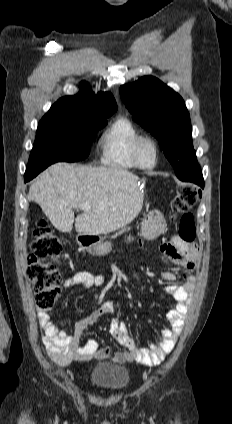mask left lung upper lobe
Listing matches in <instances>:
<instances>
[{
    "mask_svg": "<svg viewBox=\"0 0 232 424\" xmlns=\"http://www.w3.org/2000/svg\"><path fill=\"white\" fill-rule=\"evenodd\" d=\"M120 95L133 119L159 140L180 180L200 169L190 116L178 93L157 78L145 76L121 86Z\"/></svg>",
    "mask_w": 232,
    "mask_h": 424,
    "instance_id": "1",
    "label": "left lung upper lobe"
}]
</instances>
